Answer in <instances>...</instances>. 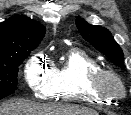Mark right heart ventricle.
Segmentation results:
<instances>
[{
	"instance_id": "1",
	"label": "right heart ventricle",
	"mask_w": 131,
	"mask_h": 115,
	"mask_svg": "<svg viewBox=\"0 0 131 115\" xmlns=\"http://www.w3.org/2000/svg\"><path fill=\"white\" fill-rule=\"evenodd\" d=\"M100 68L98 61L87 52L76 48L69 49L60 64L54 67L56 86L50 97L92 105L111 102L113 98L100 95L88 86L91 72Z\"/></svg>"
}]
</instances>
